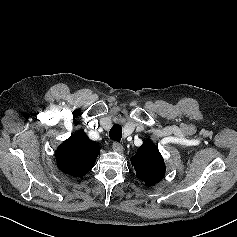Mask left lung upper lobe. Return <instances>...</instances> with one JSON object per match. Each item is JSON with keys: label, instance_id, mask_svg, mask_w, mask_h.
Wrapping results in <instances>:
<instances>
[{"label": "left lung upper lobe", "instance_id": "left-lung-upper-lobe-1", "mask_svg": "<svg viewBox=\"0 0 237 237\" xmlns=\"http://www.w3.org/2000/svg\"><path fill=\"white\" fill-rule=\"evenodd\" d=\"M136 176L143 180L147 186L160 182L165 174V164L157 146L151 142H145L137 149L131 159Z\"/></svg>", "mask_w": 237, "mask_h": 237}]
</instances>
